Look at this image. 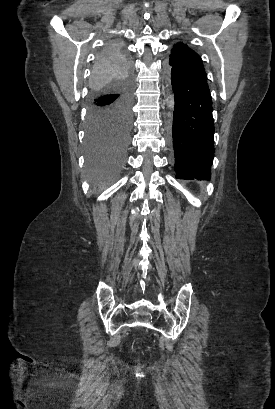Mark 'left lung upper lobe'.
I'll use <instances>...</instances> for the list:
<instances>
[{"mask_svg":"<svg viewBox=\"0 0 275 409\" xmlns=\"http://www.w3.org/2000/svg\"><path fill=\"white\" fill-rule=\"evenodd\" d=\"M169 65L207 80L201 57L182 42L175 44L171 50Z\"/></svg>","mask_w":275,"mask_h":409,"instance_id":"left-lung-upper-lobe-1","label":"left lung upper lobe"}]
</instances>
